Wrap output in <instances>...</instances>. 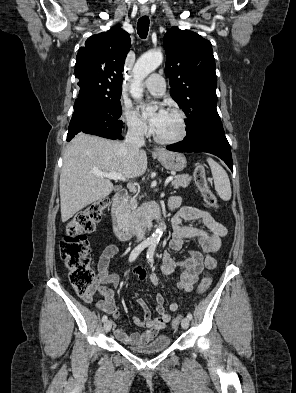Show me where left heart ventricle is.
Masks as SVG:
<instances>
[{
    "instance_id": "1",
    "label": "left heart ventricle",
    "mask_w": 296,
    "mask_h": 393,
    "mask_svg": "<svg viewBox=\"0 0 296 393\" xmlns=\"http://www.w3.org/2000/svg\"><path fill=\"white\" fill-rule=\"evenodd\" d=\"M155 132L161 138H173L177 136L180 132L179 117L167 112Z\"/></svg>"
}]
</instances>
